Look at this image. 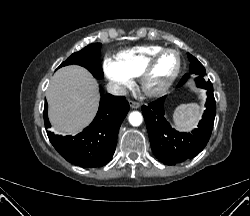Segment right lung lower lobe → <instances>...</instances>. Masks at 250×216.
Returning <instances> with one entry per match:
<instances>
[{"mask_svg": "<svg viewBox=\"0 0 250 216\" xmlns=\"http://www.w3.org/2000/svg\"><path fill=\"white\" fill-rule=\"evenodd\" d=\"M129 103L123 96L103 94L98 113L93 122L76 136H61L47 131L53 147L68 162L80 167H102L112 158L118 131L129 111ZM45 128H50L47 116V102L44 108Z\"/></svg>", "mask_w": 250, "mask_h": 216, "instance_id": "98d812e1", "label": "right lung lower lobe"}]
</instances>
